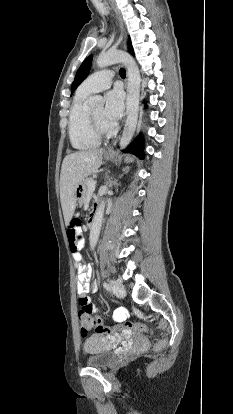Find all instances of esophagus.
<instances>
[{
	"label": "esophagus",
	"instance_id": "1",
	"mask_svg": "<svg viewBox=\"0 0 233 414\" xmlns=\"http://www.w3.org/2000/svg\"><path fill=\"white\" fill-rule=\"evenodd\" d=\"M114 10H115L116 18H117V20H118V23H119L120 29H121V31H122V33H123V35H124V38H125L124 25H123V22H122L121 16H120L119 12H118L115 8H114ZM123 44H124V46L126 47V40H125V39H124ZM107 153H108V154H112V153H113V149H112V148H109V149L107 150Z\"/></svg>",
	"mask_w": 233,
	"mask_h": 414
}]
</instances>
